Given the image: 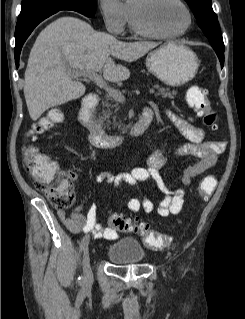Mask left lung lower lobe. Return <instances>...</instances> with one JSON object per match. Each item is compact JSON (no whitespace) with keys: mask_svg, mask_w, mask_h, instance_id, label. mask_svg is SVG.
Returning <instances> with one entry per match:
<instances>
[{"mask_svg":"<svg viewBox=\"0 0 245 319\" xmlns=\"http://www.w3.org/2000/svg\"><path fill=\"white\" fill-rule=\"evenodd\" d=\"M213 48H214V50H215V52H216V54H217V56H218V58L220 60L221 68H222L223 65H224V51H221V50H219L218 48H215V47H213Z\"/></svg>","mask_w":245,"mask_h":319,"instance_id":"left-lung-lower-lobe-1","label":"left lung lower lobe"}]
</instances>
